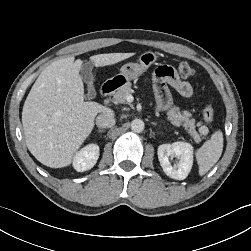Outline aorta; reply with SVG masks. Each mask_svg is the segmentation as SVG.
<instances>
[{
	"instance_id": "obj_1",
	"label": "aorta",
	"mask_w": 251,
	"mask_h": 251,
	"mask_svg": "<svg viewBox=\"0 0 251 251\" xmlns=\"http://www.w3.org/2000/svg\"><path fill=\"white\" fill-rule=\"evenodd\" d=\"M144 122L141 119H134L131 122V130L135 133H140L144 130Z\"/></svg>"
}]
</instances>
